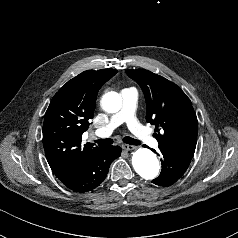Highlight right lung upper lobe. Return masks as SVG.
<instances>
[{
	"label": "right lung upper lobe",
	"mask_w": 238,
	"mask_h": 238,
	"mask_svg": "<svg viewBox=\"0 0 238 238\" xmlns=\"http://www.w3.org/2000/svg\"><path fill=\"white\" fill-rule=\"evenodd\" d=\"M116 72L115 69L84 71L52 98L44 117L43 146L59 179L72 173L99 148L92 143L81 145V137L93 117L98 90Z\"/></svg>",
	"instance_id": "1"
}]
</instances>
